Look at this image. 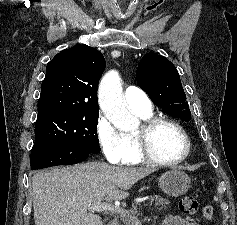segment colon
Masks as SVG:
<instances>
[{
    "mask_svg": "<svg viewBox=\"0 0 237 225\" xmlns=\"http://www.w3.org/2000/svg\"><path fill=\"white\" fill-rule=\"evenodd\" d=\"M180 211L185 215H193L199 210V203L193 196H185L181 199L179 203ZM212 208L210 206H205L203 208V214L206 219H211Z\"/></svg>",
    "mask_w": 237,
    "mask_h": 225,
    "instance_id": "1",
    "label": "colon"
}]
</instances>
